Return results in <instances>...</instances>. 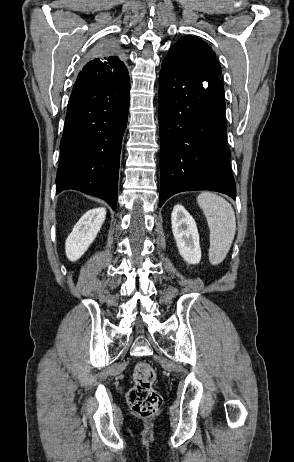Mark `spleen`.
Instances as JSON below:
<instances>
[{
  "mask_svg": "<svg viewBox=\"0 0 294 462\" xmlns=\"http://www.w3.org/2000/svg\"><path fill=\"white\" fill-rule=\"evenodd\" d=\"M197 202L210 229L209 260L219 264L226 257L236 232V219L230 203L211 192H202Z\"/></svg>",
  "mask_w": 294,
  "mask_h": 462,
  "instance_id": "obj_1",
  "label": "spleen"
}]
</instances>
